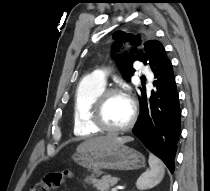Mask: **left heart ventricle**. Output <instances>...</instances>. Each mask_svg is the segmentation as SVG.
<instances>
[{"mask_svg": "<svg viewBox=\"0 0 210 191\" xmlns=\"http://www.w3.org/2000/svg\"><path fill=\"white\" fill-rule=\"evenodd\" d=\"M103 116L109 127L118 128L126 125L131 117L130 101L123 95H112L105 104Z\"/></svg>", "mask_w": 210, "mask_h": 191, "instance_id": "b2bd125f", "label": "left heart ventricle"}]
</instances>
